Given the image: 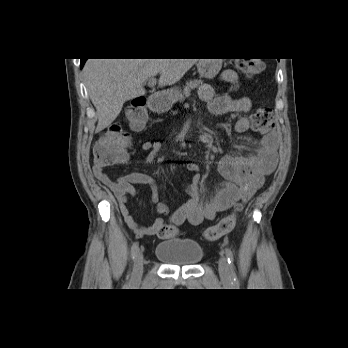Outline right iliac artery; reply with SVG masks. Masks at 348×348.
I'll return each instance as SVG.
<instances>
[{
  "instance_id": "right-iliac-artery-1",
  "label": "right iliac artery",
  "mask_w": 348,
  "mask_h": 348,
  "mask_svg": "<svg viewBox=\"0 0 348 348\" xmlns=\"http://www.w3.org/2000/svg\"><path fill=\"white\" fill-rule=\"evenodd\" d=\"M139 249V245L137 242H135L131 247V258L133 259Z\"/></svg>"
}]
</instances>
